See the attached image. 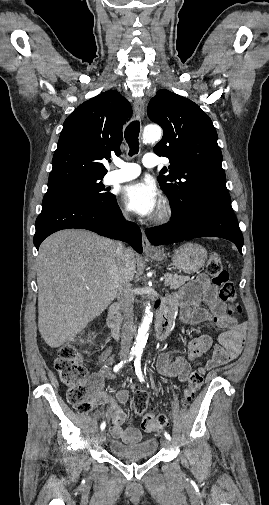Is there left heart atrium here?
<instances>
[{
    "label": "left heart atrium",
    "mask_w": 269,
    "mask_h": 505,
    "mask_svg": "<svg viewBox=\"0 0 269 505\" xmlns=\"http://www.w3.org/2000/svg\"><path fill=\"white\" fill-rule=\"evenodd\" d=\"M122 200L128 210L141 216H151L160 207V195L151 181H136L122 190Z\"/></svg>",
    "instance_id": "1"
}]
</instances>
